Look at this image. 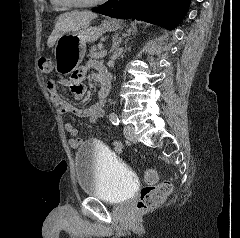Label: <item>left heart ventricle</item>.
Returning a JSON list of instances; mask_svg holds the SVG:
<instances>
[{
  "label": "left heart ventricle",
  "mask_w": 240,
  "mask_h": 238,
  "mask_svg": "<svg viewBox=\"0 0 240 238\" xmlns=\"http://www.w3.org/2000/svg\"><path fill=\"white\" fill-rule=\"evenodd\" d=\"M68 1H73V2H78V3H89L95 0H68Z\"/></svg>",
  "instance_id": "obj_1"
}]
</instances>
